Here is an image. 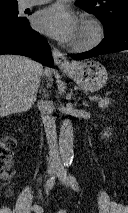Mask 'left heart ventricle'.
Returning <instances> with one entry per match:
<instances>
[{
	"label": "left heart ventricle",
	"mask_w": 128,
	"mask_h": 213,
	"mask_svg": "<svg viewBox=\"0 0 128 213\" xmlns=\"http://www.w3.org/2000/svg\"><path fill=\"white\" fill-rule=\"evenodd\" d=\"M90 32L91 31L87 26L80 24L78 33H77V36H76L74 42H81V41L86 40L90 36Z\"/></svg>",
	"instance_id": "b2bd125f"
}]
</instances>
